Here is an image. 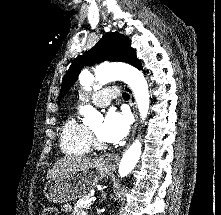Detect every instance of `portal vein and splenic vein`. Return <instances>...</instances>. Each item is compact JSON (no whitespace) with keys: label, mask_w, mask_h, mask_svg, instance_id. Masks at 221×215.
<instances>
[{"label":"portal vein and splenic vein","mask_w":221,"mask_h":215,"mask_svg":"<svg viewBox=\"0 0 221 215\" xmlns=\"http://www.w3.org/2000/svg\"><path fill=\"white\" fill-rule=\"evenodd\" d=\"M89 201H96V197H91L90 199H89Z\"/></svg>","instance_id":"portal-vein-and-splenic-vein-1"}]
</instances>
